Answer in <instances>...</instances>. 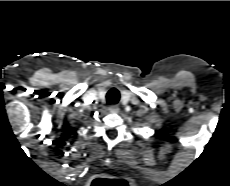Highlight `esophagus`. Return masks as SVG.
Masks as SVG:
<instances>
[{
    "label": "esophagus",
    "instance_id": "obj_1",
    "mask_svg": "<svg viewBox=\"0 0 230 186\" xmlns=\"http://www.w3.org/2000/svg\"><path fill=\"white\" fill-rule=\"evenodd\" d=\"M109 110L112 112V113H118L119 112V107L118 105L114 104V105H111L109 107Z\"/></svg>",
    "mask_w": 230,
    "mask_h": 186
}]
</instances>
